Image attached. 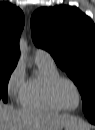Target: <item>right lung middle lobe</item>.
<instances>
[{
    "label": "right lung middle lobe",
    "mask_w": 95,
    "mask_h": 130,
    "mask_svg": "<svg viewBox=\"0 0 95 130\" xmlns=\"http://www.w3.org/2000/svg\"><path fill=\"white\" fill-rule=\"evenodd\" d=\"M16 65H0V99L7 102V85Z\"/></svg>",
    "instance_id": "dd1d6c3e"
}]
</instances>
